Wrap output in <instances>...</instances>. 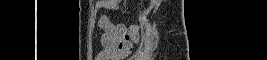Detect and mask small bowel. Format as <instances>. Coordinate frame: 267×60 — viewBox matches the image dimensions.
Segmentation results:
<instances>
[{
	"instance_id": "obj_1",
	"label": "small bowel",
	"mask_w": 267,
	"mask_h": 60,
	"mask_svg": "<svg viewBox=\"0 0 267 60\" xmlns=\"http://www.w3.org/2000/svg\"><path fill=\"white\" fill-rule=\"evenodd\" d=\"M98 24L102 29V50L98 54L97 60L123 59L138 43V29L134 25L115 24L108 16L100 17Z\"/></svg>"
}]
</instances>
